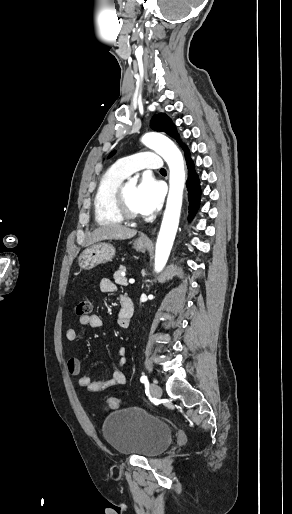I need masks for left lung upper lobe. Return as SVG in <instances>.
<instances>
[{"label":"left lung upper lobe","instance_id":"left-lung-upper-lobe-1","mask_svg":"<svg viewBox=\"0 0 292 514\" xmlns=\"http://www.w3.org/2000/svg\"><path fill=\"white\" fill-rule=\"evenodd\" d=\"M151 128L155 131L165 132L172 138H174L184 149L186 147L185 144H183L179 138V134L177 133V130L175 128V125L171 121V119L165 114V113H159L153 116L151 120ZM115 151H113L109 157H111Z\"/></svg>","mask_w":292,"mask_h":514}]
</instances>
